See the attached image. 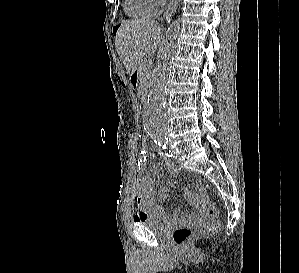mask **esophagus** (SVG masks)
Returning <instances> with one entry per match:
<instances>
[{
    "mask_svg": "<svg viewBox=\"0 0 299 273\" xmlns=\"http://www.w3.org/2000/svg\"><path fill=\"white\" fill-rule=\"evenodd\" d=\"M178 1L179 0H171L170 1L169 5H168V8H167V10L165 12V16H167L168 13L174 12L176 10V8L178 6Z\"/></svg>",
    "mask_w": 299,
    "mask_h": 273,
    "instance_id": "obj_1",
    "label": "esophagus"
}]
</instances>
